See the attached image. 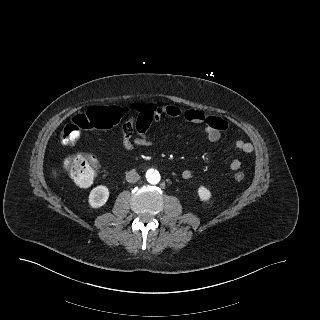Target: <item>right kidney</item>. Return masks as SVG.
I'll use <instances>...</instances> for the list:
<instances>
[{
    "label": "right kidney",
    "instance_id": "ca27d5eb",
    "mask_svg": "<svg viewBox=\"0 0 320 320\" xmlns=\"http://www.w3.org/2000/svg\"><path fill=\"white\" fill-rule=\"evenodd\" d=\"M109 198V189L107 186L99 185L93 188L88 197V203L91 208H100Z\"/></svg>",
    "mask_w": 320,
    "mask_h": 320
}]
</instances>
